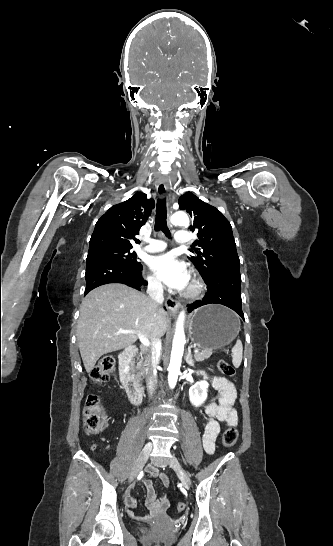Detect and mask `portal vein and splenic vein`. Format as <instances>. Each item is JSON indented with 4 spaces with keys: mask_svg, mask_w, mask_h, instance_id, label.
<instances>
[{
    "mask_svg": "<svg viewBox=\"0 0 333 546\" xmlns=\"http://www.w3.org/2000/svg\"><path fill=\"white\" fill-rule=\"evenodd\" d=\"M121 333H124V334H132V333H135L134 331L132 330H122ZM138 337H139V340L140 342L145 346V347H150V342L149 340L142 334H138ZM199 350L198 349H194V353H198Z\"/></svg>",
    "mask_w": 333,
    "mask_h": 546,
    "instance_id": "1",
    "label": "portal vein and splenic vein"
}]
</instances>
